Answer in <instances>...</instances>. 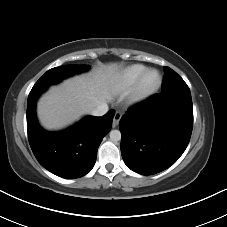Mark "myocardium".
Listing matches in <instances>:
<instances>
[{
  "label": "myocardium",
  "instance_id": "f54148a6",
  "mask_svg": "<svg viewBox=\"0 0 227 227\" xmlns=\"http://www.w3.org/2000/svg\"><path fill=\"white\" fill-rule=\"evenodd\" d=\"M151 73H155L157 75V80L153 85L146 86L145 80L147 76ZM162 81V75L158 70L152 68L146 69L138 79L134 88L132 89L129 96V102L131 104H139L145 101L159 90L162 85Z\"/></svg>",
  "mask_w": 227,
  "mask_h": 227
}]
</instances>
